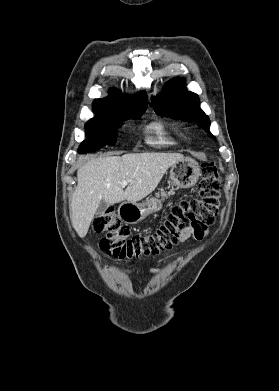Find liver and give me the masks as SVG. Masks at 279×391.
<instances>
[{"mask_svg": "<svg viewBox=\"0 0 279 391\" xmlns=\"http://www.w3.org/2000/svg\"><path fill=\"white\" fill-rule=\"evenodd\" d=\"M179 153H136L92 158L77 171V188L71 200V222L79 237L86 236L102 200L136 203L160 183L165 172L180 159ZM131 180L123 190L122 182Z\"/></svg>", "mask_w": 279, "mask_h": 391, "instance_id": "liver-1", "label": "liver"}]
</instances>
